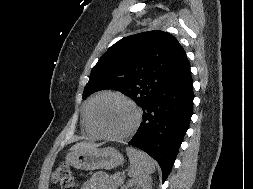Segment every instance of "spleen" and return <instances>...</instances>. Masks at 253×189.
<instances>
[{
    "label": "spleen",
    "mask_w": 253,
    "mask_h": 189,
    "mask_svg": "<svg viewBox=\"0 0 253 189\" xmlns=\"http://www.w3.org/2000/svg\"><path fill=\"white\" fill-rule=\"evenodd\" d=\"M130 160L128 175L133 178H145L155 171V161L145 152L133 147L126 148Z\"/></svg>",
    "instance_id": "1"
}]
</instances>
